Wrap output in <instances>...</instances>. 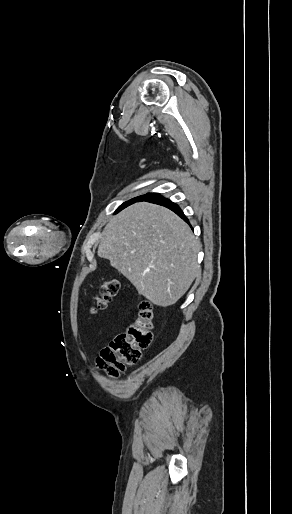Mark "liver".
Masks as SVG:
<instances>
[{
    "label": "liver",
    "instance_id": "6515ba94",
    "mask_svg": "<svg viewBox=\"0 0 292 514\" xmlns=\"http://www.w3.org/2000/svg\"><path fill=\"white\" fill-rule=\"evenodd\" d=\"M198 244L189 226L155 204H133L107 224L98 256L155 306L176 304L195 280Z\"/></svg>",
    "mask_w": 292,
    "mask_h": 514
}]
</instances>
